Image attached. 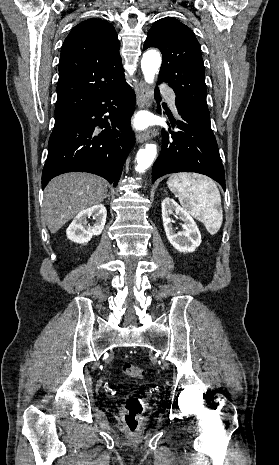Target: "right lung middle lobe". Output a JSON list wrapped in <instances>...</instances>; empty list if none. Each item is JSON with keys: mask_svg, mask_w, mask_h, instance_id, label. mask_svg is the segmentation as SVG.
Masks as SVG:
<instances>
[{"mask_svg": "<svg viewBox=\"0 0 279 465\" xmlns=\"http://www.w3.org/2000/svg\"><path fill=\"white\" fill-rule=\"evenodd\" d=\"M63 124L62 125H55L53 131H52V134L50 136V139H49V142L52 141L53 137L56 135L57 132L60 131V129L62 128Z\"/></svg>", "mask_w": 279, "mask_h": 465, "instance_id": "right-lung-middle-lobe-1", "label": "right lung middle lobe"}]
</instances>
